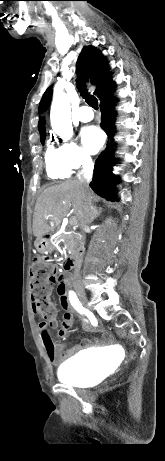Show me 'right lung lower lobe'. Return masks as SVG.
I'll use <instances>...</instances> for the list:
<instances>
[{
	"instance_id": "98d812e1",
	"label": "right lung lower lobe",
	"mask_w": 165,
	"mask_h": 461,
	"mask_svg": "<svg viewBox=\"0 0 165 461\" xmlns=\"http://www.w3.org/2000/svg\"><path fill=\"white\" fill-rule=\"evenodd\" d=\"M116 101L114 97H111L100 104L102 112L101 127L109 136L111 142L95 161L93 180L90 183V187L95 193L111 201H118L113 189L117 179L112 173V167L116 163V158L113 154L115 151V144L113 143L115 127L113 123L116 117L113 108Z\"/></svg>"
}]
</instances>
